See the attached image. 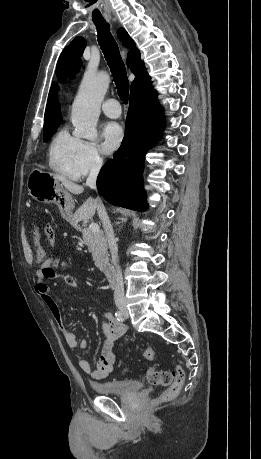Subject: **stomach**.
I'll list each match as a JSON object with an SVG mask.
<instances>
[{"mask_svg": "<svg viewBox=\"0 0 261 459\" xmlns=\"http://www.w3.org/2000/svg\"><path fill=\"white\" fill-rule=\"evenodd\" d=\"M29 195L42 203L57 204L66 216H69L70 197L61 183L49 172L38 168L31 171L27 180Z\"/></svg>", "mask_w": 261, "mask_h": 459, "instance_id": "0dacf381", "label": "stomach"}]
</instances>
